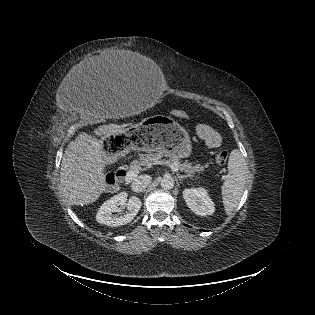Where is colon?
I'll list each match as a JSON object with an SVG mask.
<instances>
[{
  "instance_id": "1",
  "label": "colon",
  "mask_w": 315,
  "mask_h": 315,
  "mask_svg": "<svg viewBox=\"0 0 315 315\" xmlns=\"http://www.w3.org/2000/svg\"><path fill=\"white\" fill-rule=\"evenodd\" d=\"M173 114L176 116V117H179V118H186L187 117V114L184 112V111H181V110H175L173 112ZM228 157H229V152L227 150H222L220 151L217 156H216V162L219 164V165H224L227 160H228Z\"/></svg>"
}]
</instances>
